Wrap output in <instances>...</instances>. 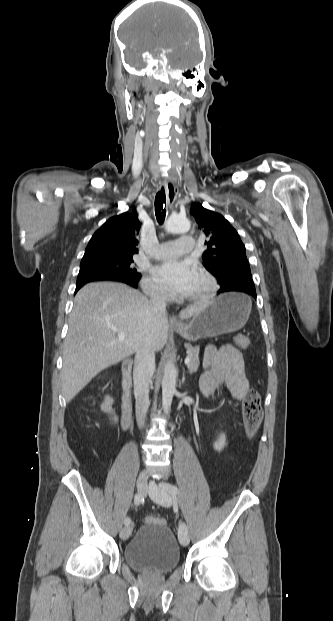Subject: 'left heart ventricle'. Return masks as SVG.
Returning <instances> with one entry per match:
<instances>
[{
    "instance_id": "obj_1",
    "label": "left heart ventricle",
    "mask_w": 333,
    "mask_h": 621,
    "mask_svg": "<svg viewBox=\"0 0 333 621\" xmlns=\"http://www.w3.org/2000/svg\"><path fill=\"white\" fill-rule=\"evenodd\" d=\"M207 282L197 272L188 289L182 294L183 296H194L207 290Z\"/></svg>"
}]
</instances>
